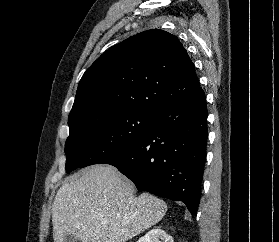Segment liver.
Segmentation results:
<instances>
[{
	"mask_svg": "<svg viewBox=\"0 0 279 242\" xmlns=\"http://www.w3.org/2000/svg\"><path fill=\"white\" fill-rule=\"evenodd\" d=\"M134 185L115 167L94 165L67 178L52 205L54 242H126L159 222L167 204Z\"/></svg>",
	"mask_w": 279,
	"mask_h": 242,
	"instance_id": "1",
	"label": "liver"
}]
</instances>
